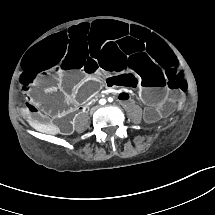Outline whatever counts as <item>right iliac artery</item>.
Here are the masks:
<instances>
[{"label": "right iliac artery", "instance_id": "obj_1", "mask_svg": "<svg viewBox=\"0 0 215 215\" xmlns=\"http://www.w3.org/2000/svg\"><path fill=\"white\" fill-rule=\"evenodd\" d=\"M106 103V100L105 99H101L100 101H99V104H101V105H104Z\"/></svg>", "mask_w": 215, "mask_h": 215}]
</instances>
